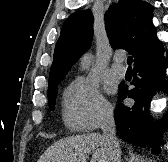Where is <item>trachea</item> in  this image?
I'll return each mask as SVG.
<instances>
[{
	"mask_svg": "<svg viewBox=\"0 0 168 162\" xmlns=\"http://www.w3.org/2000/svg\"><path fill=\"white\" fill-rule=\"evenodd\" d=\"M132 62H133L132 56L128 57L127 58V64L130 66L132 64Z\"/></svg>",
	"mask_w": 168,
	"mask_h": 162,
	"instance_id": "1",
	"label": "trachea"
}]
</instances>
